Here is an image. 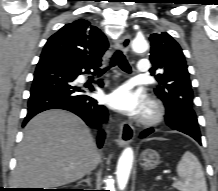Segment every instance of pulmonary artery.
<instances>
[{
  "label": "pulmonary artery",
  "mask_w": 218,
  "mask_h": 191,
  "mask_svg": "<svg viewBox=\"0 0 218 191\" xmlns=\"http://www.w3.org/2000/svg\"><path fill=\"white\" fill-rule=\"evenodd\" d=\"M148 68H149V60L147 59L140 60L137 64L136 74L141 75L143 73H146L148 71Z\"/></svg>",
  "instance_id": "obj_1"
}]
</instances>
